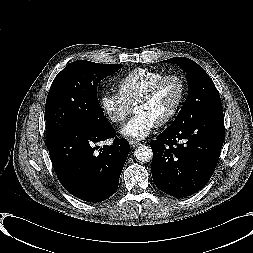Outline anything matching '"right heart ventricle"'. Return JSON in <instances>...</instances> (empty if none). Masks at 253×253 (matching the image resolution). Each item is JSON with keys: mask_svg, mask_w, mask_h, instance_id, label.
I'll return each instance as SVG.
<instances>
[{"mask_svg": "<svg viewBox=\"0 0 253 253\" xmlns=\"http://www.w3.org/2000/svg\"><path fill=\"white\" fill-rule=\"evenodd\" d=\"M164 74L166 72L156 69H133L118 80V93L133 106L147 88Z\"/></svg>", "mask_w": 253, "mask_h": 253, "instance_id": "1", "label": "right heart ventricle"}]
</instances>
